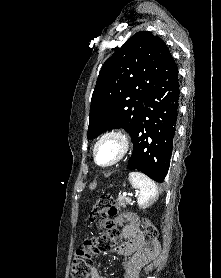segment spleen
Segmentation results:
<instances>
[{"mask_svg":"<svg viewBox=\"0 0 221 278\" xmlns=\"http://www.w3.org/2000/svg\"><path fill=\"white\" fill-rule=\"evenodd\" d=\"M128 179L134 188L140 190L137 201L140 208H146L158 199L157 186L149 177L140 172H131Z\"/></svg>","mask_w":221,"mask_h":278,"instance_id":"1","label":"spleen"}]
</instances>
